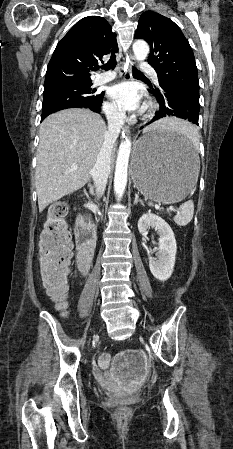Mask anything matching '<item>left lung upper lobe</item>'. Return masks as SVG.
Returning a JSON list of instances; mask_svg holds the SVG:
<instances>
[{
	"label": "left lung upper lobe",
	"mask_w": 233,
	"mask_h": 449,
	"mask_svg": "<svg viewBox=\"0 0 233 449\" xmlns=\"http://www.w3.org/2000/svg\"><path fill=\"white\" fill-rule=\"evenodd\" d=\"M135 38L150 45L148 63L155 69L159 84H168L199 98L198 73L193 51L180 28L169 18L153 11L144 12Z\"/></svg>",
	"instance_id": "1"
}]
</instances>
